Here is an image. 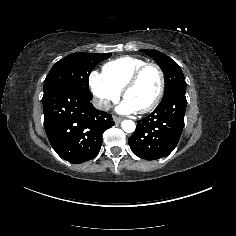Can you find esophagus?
<instances>
[{
	"mask_svg": "<svg viewBox=\"0 0 236 236\" xmlns=\"http://www.w3.org/2000/svg\"><path fill=\"white\" fill-rule=\"evenodd\" d=\"M113 120L115 121V123H120V122L122 121V118H121V117L114 116V117H113Z\"/></svg>",
	"mask_w": 236,
	"mask_h": 236,
	"instance_id": "esophagus-1",
	"label": "esophagus"
}]
</instances>
